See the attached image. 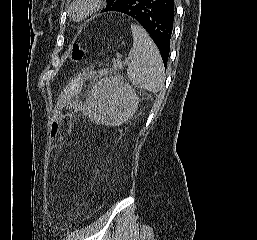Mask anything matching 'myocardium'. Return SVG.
I'll return each mask as SVG.
<instances>
[{
  "instance_id": "1",
  "label": "myocardium",
  "mask_w": 257,
  "mask_h": 240,
  "mask_svg": "<svg viewBox=\"0 0 257 240\" xmlns=\"http://www.w3.org/2000/svg\"><path fill=\"white\" fill-rule=\"evenodd\" d=\"M99 8V0H74L68 8L71 18L82 21L92 15Z\"/></svg>"
}]
</instances>
